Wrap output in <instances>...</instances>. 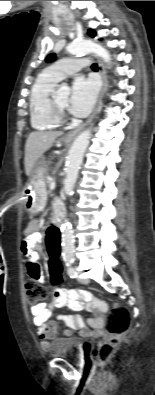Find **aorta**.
<instances>
[{"instance_id": "1", "label": "aorta", "mask_w": 155, "mask_h": 395, "mask_svg": "<svg viewBox=\"0 0 155 395\" xmlns=\"http://www.w3.org/2000/svg\"><path fill=\"white\" fill-rule=\"evenodd\" d=\"M67 51L71 54H88L94 53L95 55L102 58V60L108 65L111 62L109 52L101 45L94 41L84 39L74 41L67 46ZM61 91L64 94H68L69 88L66 85L61 87ZM92 130L90 128L82 131L77 138L74 140L66 163V177L64 179V192L65 194H71L78 178V172L83 161L84 153L89 146L90 137ZM62 232V251L63 257L66 261H71L75 255L74 247V235L72 226L69 222H65L61 227Z\"/></svg>"}]
</instances>
